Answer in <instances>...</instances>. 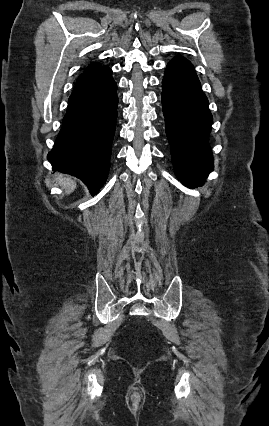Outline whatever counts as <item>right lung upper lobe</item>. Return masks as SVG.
I'll return each mask as SVG.
<instances>
[{"mask_svg": "<svg viewBox=\"0 0 269 426\" xmlns=\"http://www.w3.org/2000/svg\"><path fill=\"white\" fill-rule=\"evenodd\" d=\"M99 67H101V65H100L99 63H93L92 65H89V66L85 69V71L93 70V69H96V68H99Z\"/></svg>", "mask_w": 269, "mask_h": 426, "instance_id": "cb5924a9", "label": "right lung upper lobe"}]
</instances>
